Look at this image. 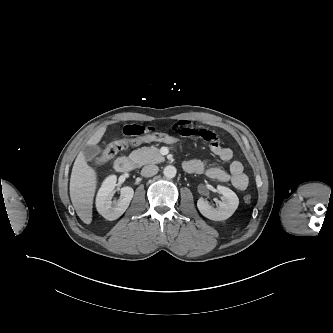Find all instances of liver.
Listing matches in <instances>:
<instances>
[{
  "label": "liver",
  "mask_w": 333,
  "mask_h": 333,
  "mask_svg": "<svg viewBox=\"0 0 333 333\" xmlns=\"http://www.w3.org/2000/svg\"><path fill=\"white\" fill-rule=\"evenodd\" d=\"M105 131V126L98 129L90 137L87 145L99 143ZM96 187V172L87 164L83 151H80L72 168L69 191L77 215L86 224L92 222L93 198Z\"/></svg>",
  "instance_id": "6515ba94"
}]
</instances>
